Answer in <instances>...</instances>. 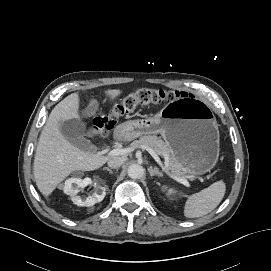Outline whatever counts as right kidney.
Wrapping results in <instances>:
<instances>
[{
	"label": "right kidney",
	"instance_id": "obj_1",
	"mask_svg": "<svg viewBox=\"0 0 271 271\" xmlns=\"http://www.w3.org/2000/svg\"><path fill=\"white\" fill-rule=\"evenodd\" d=\"M90 184H92V180L90 178H69L64 183V193L72 196V201L78 206H92L95 203L101 202L106 193L103 187L97 185L95 186V192L92 194V196H88L86 199L77 196L79 188H84Z\"/></svg>",
	"mask_w": 271,
	"mask_h": 271
}]
</instances>
